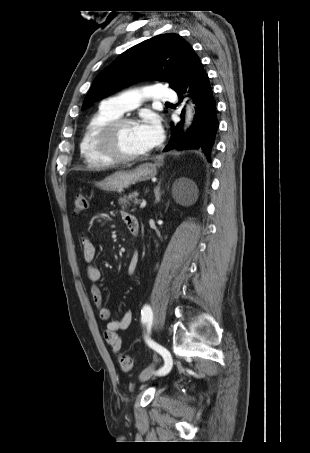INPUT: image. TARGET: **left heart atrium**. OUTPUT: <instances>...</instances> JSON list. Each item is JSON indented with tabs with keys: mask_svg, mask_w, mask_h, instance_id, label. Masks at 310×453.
I'll return each instance as SVG.
<instances>
[{
	"mask_svg": "<svg viewBox=\"0 0 310 453\" xmlns=\"http://www.w3.org/2000/svg\"><path fill=\"white\" fill-rule=\"evenodd\" d=\"M138 133L148 150L159 145L163 138L161 124L155 116H149L139 123Z\"/></svg>",
	"mask_w": 310,
	"mask_h": 453,
	"instance_id": "obj_1",
	"label": "left heart atrium"
}]
</instances>
